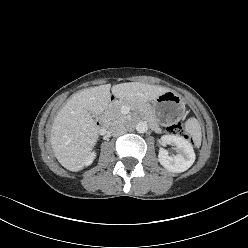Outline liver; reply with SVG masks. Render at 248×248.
<instances>
[{
	"label": "liver",
	"mask_w": 248,
	"mask_h": 248,
	"mask_svg": "<svg viewBox=\"0 0 248 248\" xmlns=\"http://www.w3.org/2000/svg\"><path fill=\"white\" fill-rule=\"evenodd\" d=\"M110 84L84 89L74 94L57 114L50 143L56 159L69 171L83 169L99 134L91 114L100 115L110 103ZM167 88L140 82L112 86L114 97L139 104L156 99Z\"/></svg>",
	"instance_id": "obj_1"
}]
</instances>
